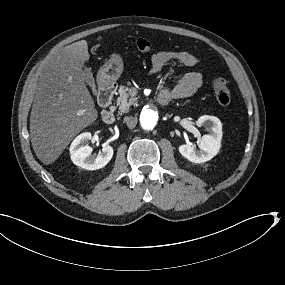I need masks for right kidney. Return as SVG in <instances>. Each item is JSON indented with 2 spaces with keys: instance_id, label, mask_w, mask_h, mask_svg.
Masks as SVG:
<instances>
[{
  "instance_id": "right-kidney-1",
  "label": "right kidney",
  "mask_w": 285,
  "mask_h": 285,
  "mask_svg": "<svg viewBox=\"0 0 285 285\" xmlns=\"http://www.w3.org/2000/svg\"><path fill=\"white\" fill-rule=\"evenodd\" d=\"M92 139L90 133H82L72 142L70 147L71 161L86 170H98L106 166L113 157L114 149L108 145L96 158L91 155L92 148L89 141Z\"/></svg>"
}]
</instances>
